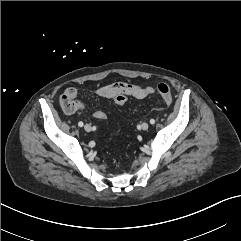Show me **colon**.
<instances>
[{
  "instance_id": "1",
  "label": "colon",
  "mask_w": 241,
  "mask_h": 241,
  "mask_svg": "<svg viewBox=\"0 0 241 241\" xmlns=\"http://www.w3.org/2000/svg\"><path fill=\"white\" fill-rule=\"evenodd\" d=\"M114 91L115 90H113V92ZM157 91H158L159 95L161 96L162 100L166 104L169 105L172 103L173 97H172L171 89L167 84H164V83L158 84ZM113 99L117 105H124L127 101V95L122 92H116ZM100 119L101 120L106 119V114H103Z\"/></svg>"
}]
</instances>
